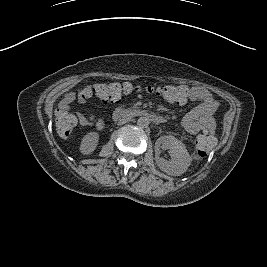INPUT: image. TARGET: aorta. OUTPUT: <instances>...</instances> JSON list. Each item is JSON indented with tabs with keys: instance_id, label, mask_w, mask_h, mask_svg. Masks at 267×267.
I'll use <instances>...</instances> for the list:
<instances>
[{
	"instance_id": "762f6f07",
	"label": "aorta",
	"mask_w": 267,
	"mask_h": 267,
	"mask_svg": "<svg viewBox=\"0 0 267 267\" xmlns=\"http://www.w3.org/2000/svg\"><path fill=\"white\" fill-rule=\"evenodd\" d=\"M149 125V120L146 117H140L137 120V126L141 129L147 128Z\"/></svg>"
}]
</instances>
